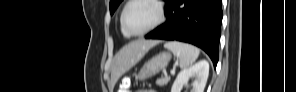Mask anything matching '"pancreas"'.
Wrapping results in <instances>:
<instances>
[{"label":"pancreas","instance_id":"cf45deb5","mask_svg":"<svg viewBox=\"0 0 296 92\" xmlns=\"http://www.w3.org/2000/svg\"><path fill=\"white\" fill-rule=\"evenodd\" d=\"M170 81V77L168 76H165L163 78H160V79H157L156 80V84L158 86H164V85H167V83Z\"/></svg>","mask_w":296,"mask_h":92}]
</instances>
